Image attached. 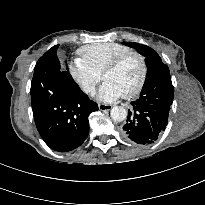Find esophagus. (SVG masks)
I'll return each mask as SVG.
<instances>
[{
	"label": "esophagus",
	"instance_id": "esophagus-1",
	"mask_svg": "<svg viewBox=\"0 0 205 205\" xmlns=\"http://www.w3.org/2000/svg\"><path fill=\"white\" fill-rule=\"evenodd\" d=\"M98 107L101 111H109L112 108V106L108 104H99Z\"/></svg>",
	"mask_w": 205,
	"mask_h": 205
}]
</instances>
